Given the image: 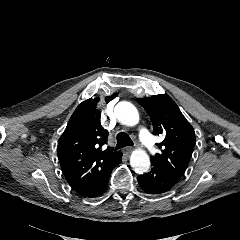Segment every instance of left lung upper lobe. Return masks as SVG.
<instances>
[{
  "instance_id": "left-lung-upper-lobe-1",
  "label": "left lung upper lobe",
  "mask_w": 240,
  "mask_h": 240,
  "mask_svg": "<svg viewBox=\"0 0 240 240\" xmlns=\"http://www.w3.org/2000/svg\"><path fill=\"white\" fill-rule=\"evenodd\" d=\"M153 123L154 135H163L161 153L151 157L179 180L184 175L195 145V132L176 103L166 94L138 99Z\"/></svg>"
}]
</instances>
